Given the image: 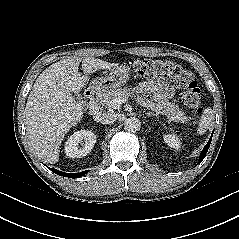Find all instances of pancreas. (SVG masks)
<instances>
[{
	"label": "pancreas",
	"instance_id": "cf45deb5",
	"mask_svg": "<svg viewBox=\"0 0 239 239\" xmlns=\"http://www.w3.org/2000/svg\"><path fill=\"white\" fill-rule=\"evenodd\" d=\"M133 92L131 88H120L105 92L102 96V104L110 108V101L118 97H129L132 96ZM144 107L157 111L163 115H166L170 120L174 122L188 123V118L185 113L174 103L168 100H159L154 103L152 100H144L141 103Z\"/></svg>",
	"mask_w": 239,
	"mask_h": 239
}]
</instances>
